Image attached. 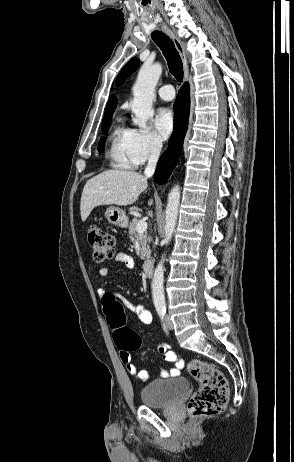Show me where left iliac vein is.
I'll list each match as a JSON object with an SVG mask.
<instances>
[{
	"instance_id": "obj_1",
	"label": "left iliac vein",
	"mask_w": 294,
	"mask_h": 462,
	"mask_svg": "<svg viewBox=\"0 0 294 462\" xmlns=\"http://www.w3.org/2000/svg\"><path fill=\"white\" fill-rule=\"evenodd\" d=\"M166 324H167L168 329L173 330V323L169 315H166Z\"/></svg>"
}]
</instances>
